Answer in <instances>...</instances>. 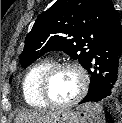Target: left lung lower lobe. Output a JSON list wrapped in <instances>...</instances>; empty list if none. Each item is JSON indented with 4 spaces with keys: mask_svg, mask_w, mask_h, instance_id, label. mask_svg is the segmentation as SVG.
I'll return each instance as SVG.
<instances>
[{
    "mask_svg": "<svg viewBox=\"0 0 122 123\" xmlns=\"http://www.w3.org/2000/svg\"><path fill=\"white\" fill-rule=\"evenodd\" d=\"M94 59L95 66L91 71ZM85 69L91 75L90 87L80 104L117 97L122 77V26L118 17L102 34Z\"/></svg>",
    "mask_w": 122,
    "mask_h": 123,
    "instance_id": "0a47b994",
    "label": "left lung lower lobe"
}]
</instances>
